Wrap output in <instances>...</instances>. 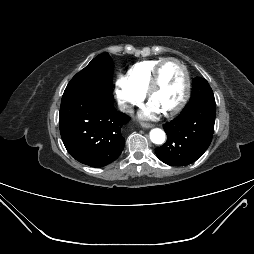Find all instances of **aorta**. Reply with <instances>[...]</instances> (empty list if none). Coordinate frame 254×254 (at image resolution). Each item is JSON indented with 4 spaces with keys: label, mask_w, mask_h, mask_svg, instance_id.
Returning <instances> with one entry per match:
<instances>
[{
    "label": "aorta",
    "mask_w": 254,
    "mask_h": 254,
    "mask_svg": "<svg viewBox=\"0 0 254 254\" xmlns=\"http://www.w3.org/2000/svg\"><path fill=\"white\" fill-rule=\"evenodd\" d=\"M165 138V132L159 128L152 129L150 132V139L154 144H163Z\"/></svg>",
    "instance_id": "aorta-1"
}]
</instances>
